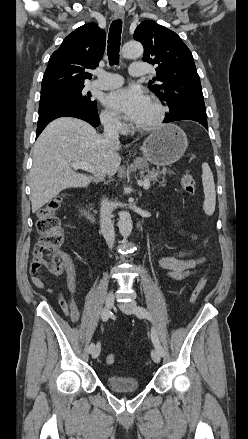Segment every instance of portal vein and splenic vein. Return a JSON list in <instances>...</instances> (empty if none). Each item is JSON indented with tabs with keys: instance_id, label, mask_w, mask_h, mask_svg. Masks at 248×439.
I'll return each instance as SVG.
<instances>
[{
	"instance_id": "portal-vein-and-splenic-vein-1",
	"label": "portal vein and splenic vein",
	"mask_w": 248,
	"mask_h": 439,
	"mask_svg": "<svg viewBox=\"0 0 248 439\" xmlns=\"http://www.w3.org/2000/svg\"><path fill=\"white\" fill-rule=\"evenodd\" d=\"M70 165L71 167H73V169H82L89 173L95 174L94 167L87 163L75 162V163H70ZM139 185H143L144 189H148L150 187V181L147 178H145L144 181L139 182Z\"/></svg>"
}]
</instances>
